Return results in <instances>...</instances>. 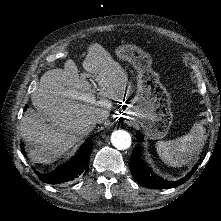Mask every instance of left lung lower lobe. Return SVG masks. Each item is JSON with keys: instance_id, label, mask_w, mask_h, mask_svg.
Listing matches in <instances>:
<instances>
[{"instance_id": "obj_1", "label": "left lung lower lobe", "mask_w": 221, "mask_h": 221, "mask_svg": "<svg viewBox=\"0 0 221 221\" xmlns=\"http://www.w3.org/2000/svg\"><path fill=\"white\" fill-rule=\"evenodd\" d=\"M136 138L142 142L143 136L141 133L136 134ZM142 147L136 146L133 149L131 158H130V171L134 179L140 183L142 186L150 189H167L177 187L185 183L195 172L198 164L189 172L184 178L178 181H168L164 180L158 175H156L142 160L141 158Z\"/></svg>"}]
</instances>
